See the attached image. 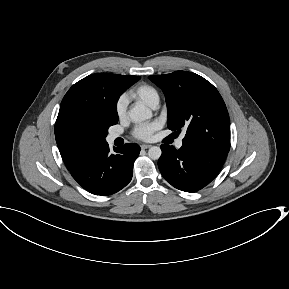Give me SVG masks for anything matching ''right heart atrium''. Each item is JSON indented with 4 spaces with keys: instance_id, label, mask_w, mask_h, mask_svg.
Masks as SVG:
<instances>
[{
    "instance_id": "d8ad5b80",
    "label": "right heart atrium",
    "mask_w": 289,
    "mask_h": 289,
    "mask_svg": "<svg viewBox=\"0 0 289 289\" xmlns=\"http://www.w3.org/2000/svg\"><path fill=\"white\" fill-rule=\"evenodd\" d=\"M128 98L122 95L118 98L115 104V111L119 118H124L127 114Z\"/></svg>"
}]
</instances>
